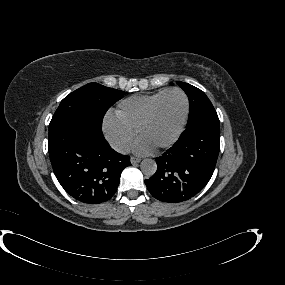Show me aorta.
<instances>
[{
	"label": "aorta",
	"instance_id": "obj_1",
	"mask_svg": "<svg viewBox=\"0 0 285 285\" xmlns=\"http://www.w3.org/2000/svg\"><path fill=\"white\" fill-rule=\"evenodd\" d=\"M142 173L146 176H153L157 171L156 161L153 159H144L140 164Z\"/></svg>",
	"mask_w": 285,
	"mask_h": 285
}]
</instances>
